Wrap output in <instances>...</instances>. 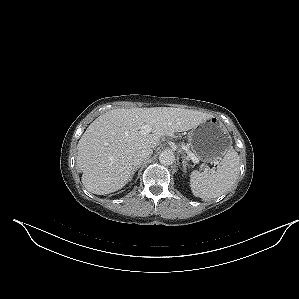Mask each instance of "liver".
<instances>
[{"label": "liver", "instance_id": "obj_1", "mask_svg": "<svg viewBox=\"0 0 299 299\" xmlns=\"http://www.w3.org/2000/svg\"><path fill=\"white\" fill-rule=\"evenodd\" d=\"M211 117L172 107L119 108L103 113L88 126L77 145L83 185L97 195L123 188L130 181L137 151L154 149L163 136L188 131ZM143 125H150L151 132L141 134Z\"/></svg>", "mask_w": 299, "mask_h": 299}]
</instances>
